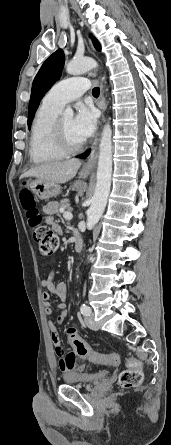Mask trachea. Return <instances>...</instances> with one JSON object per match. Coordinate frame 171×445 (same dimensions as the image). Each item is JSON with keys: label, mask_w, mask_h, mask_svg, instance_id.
Wrapping results in <instances>:
<instances>
[{"label": "trachea", "mask_w": 171, "mask_h": 445, "mask_svg": "<svg viewBox=\"0 0 171 445\" xmlns=\"http://www.w3.org/2000/svg\"><path fill=\"white\" fill-rule=\"evenodd\" d=\"M99 94H100V89H99V87H95V88H93V90H92V95H93L94 97H98Z\"/></svg>", "instance_id": "trachea-1"}]
</instances>
